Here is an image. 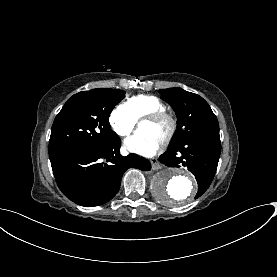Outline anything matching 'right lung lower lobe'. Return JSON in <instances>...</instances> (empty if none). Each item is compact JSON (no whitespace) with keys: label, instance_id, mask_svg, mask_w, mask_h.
<instances>
[{"label":"right lung lower lobe","instance_id":"1","mask_svg":"<svg viewBox=\"0 0 277 277\" xmlns=\"http://www.w3.org/2000/svg\"><path fill=\"white\" fill-rule=\"evenodd\" d=\"M120 139L101 147H84L50 157L55 180L62 193L85 207L104 204L119 191L124 172L131 167L151 169L136 155H120Z\"/></svg>","mask_w":277,"mask_h":277}]
</instances>
